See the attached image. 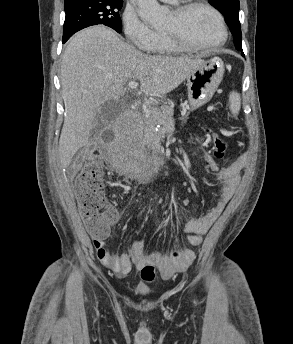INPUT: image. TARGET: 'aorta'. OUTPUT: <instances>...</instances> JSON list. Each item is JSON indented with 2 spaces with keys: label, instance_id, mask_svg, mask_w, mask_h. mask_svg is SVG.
Wrapping results in <instances>:
<instances>
[{
  "label": "aorta",
  "instance_id": "762f6f07",
  "mask_svg": "<svg viewBox=\"0 0 293 344\" xmlns=\"http://www.w3.org/2000/svg\"><path fill=\"white\" fill-rule=\"evenodd\" d=\"M139 16L149 22L153 27L161 26L167 16V9L161 6L157 0H137Z\"/></svg>",
  "mask_w": 293,
  "mask_h": 344
}]
</instances>
